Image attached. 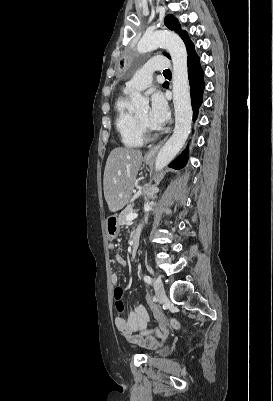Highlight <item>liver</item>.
<instances>
[{
    "mask_svg": "<svg viewBox=\"0 0 273 401\" xmlns=\"http://www.w3.org/2000/svg\"><path fill=\"white\" fill-rule=\"evenodd\" d=\"M142 158L141 150L135 148L118 146L111 150L103 178L104 196L111 213H116L127 205Z\"/></svg>",
    "mask_w": 273,
    "mask_h": 401,
    "instance_id": "liver-1",
    "label": "liver"
}]
</instances>
